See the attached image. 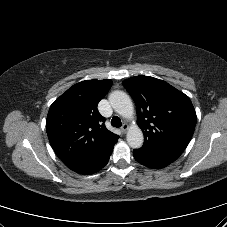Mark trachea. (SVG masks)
I'll list each match as a JSON object with an SVG mask.
<instances>
[{
	"instance_id": "trachea-1",
	"label": "trachea",
	"mask_w": 227,
	"mask_h": 227,
	"mask_svg": "<svg viewBox=\"0 0 227 227\" xmlns=\"http://www.w3.org/2000/svg\"><path fill=\"white\" fill-rule=\"evenodd\" d=\"M111 125L116 128H119L122 126V122L118 116H114L111 120Z\"/></svg>"
}]
</instances>
